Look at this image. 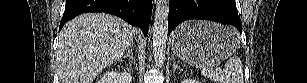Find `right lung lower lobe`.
Masks as SVG:
<instances>
[{"label": "right lung lower lobe", "mask_w": 307, "mask_h": 83, "mask_svg": "<svg viewBox=\"0 0 307 83\" xmlns=\"http://www.w3.org/2000/svg\"><path fill=\"white\" fill-rule=\"evenodd\" d=\"M152 0H67L59 30L65 22L87 12H106L139 27L146 35L149 28Z\"/></svg>", "instance_id": "obj_1"}]
</instances>
